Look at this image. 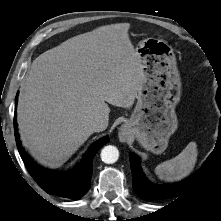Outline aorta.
<instances>
[{"mask_svg":"<svg viewBox=\"0 0 221 221\" xmlns=\"http://www.w3.org/2000/svg\"><path fill=\"white\" fill-rule=\"evenodd\" d=\"M101 159L106 164H113L118 160L119 151L115 146H105L101 151Z\"/></svg>","mask_w":221,"mask_h":221,"instance_id":"aorta-1","label":"aorta"}]
</instances>
